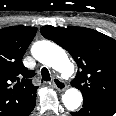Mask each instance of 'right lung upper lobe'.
I'll return each mask as SVG.
<instances>
[{
	"mask_svg": "<svg viewBox=\"0 0 116 116\" xmlns=\"http://www.w3.org/2000/svg\"><path fill=\"white\" fill-rule=\"evenodd\" d=\"M36 31L27 26L0 29V116H26L35 107V73L22 58Z\"/></svg>",
	"mask_w": 116,
	"mask_h": 116,
	"instance_id": "1",
	"label": "right lung upper lobe"
}]
</instances>
